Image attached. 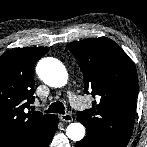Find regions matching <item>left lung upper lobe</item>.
I'll list each match as a JSON object with an SVG mask.
<instances>
[{
	"label": "left lung upper lobe",
	"mask_w": 147,
	"mask_h": 147,
	"mask_svg": "<svg viewBox=\"0 0 147 147\" xmlns=\"http://www.w3.org/2000/svg\"><path fill=\"white\" fill-rule=\"evenodd\" d=\"M84 78L85 93L99 97L77 112L86 130L112 147H126L133 132L138 78L131 58L111 39L88 38L67 44Z\"/></svg>",
	"instance_id": "1"
}]
</instances>
